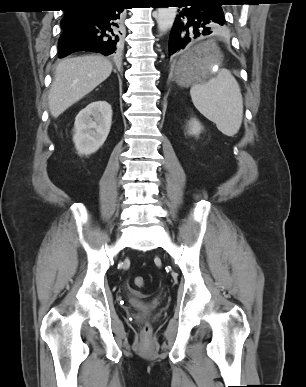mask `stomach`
<instances>
[{"instance_id":"stomach-1","label":"stomach","mask_w":306,"mask_h":387,"mask_svg":"<svg viewBox=\"0 0 306 387\" xmlns=\"http://www.w3.org/2000/svg\"><path fill=\"white\" fill-rule=\"evenodd\" d=\"M221 61L222 54L215 44L212 42L197 44L176 64L175 81L180 87H189L191 84L204 81L211 75L213 67L220 65Z\"/></svg>"}]
</instances>
